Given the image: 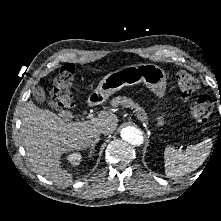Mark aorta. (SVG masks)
<instances>
[{"label": "aorta", "mask_w": 221, "mask_h": 221, "mask_svg": "<svg viewBox=\"0 0 221 221\" xmlns=\"http://www.w3.org/2000/svg\"><path fill=\"white\" fill-rule=\"evenodd\" d=\"M120 133L121 138L132 145H141L144 141L142 133L135 127H124Z\"/></svg>", "instance_id": "762f6f07"}]
</instances>
